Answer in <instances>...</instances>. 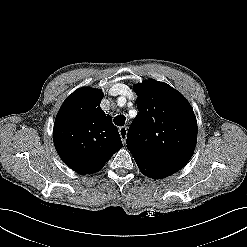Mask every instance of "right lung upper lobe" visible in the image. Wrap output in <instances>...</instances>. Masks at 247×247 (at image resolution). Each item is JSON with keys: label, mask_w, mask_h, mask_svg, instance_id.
<instances>
[{"label": "right lung upper lobe", "mask_w": 247, "mask_h": 247, "mask_svg": "<svg viewBox=\"0 0 247 247\" xmlns=\"http://www.w3.org/2000/svg\"><path fill=\"white\" fill-rule=\"evenodd\" d=\"M103 96L99 89L79 88L64 101L55 119V148L79 174L99 171L122 148L118 129L100 107Z\"/></svg>", "instance_id": "cb5924a9"}]
</instances>
